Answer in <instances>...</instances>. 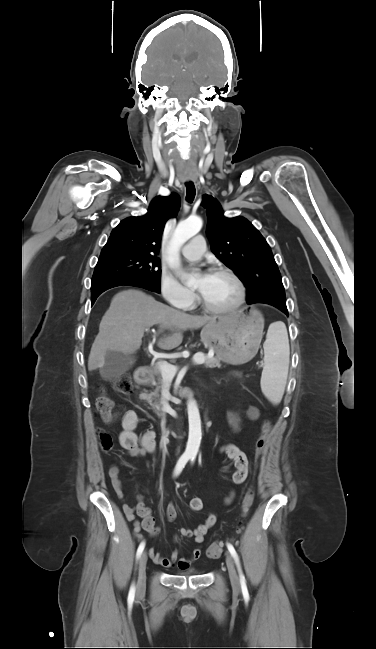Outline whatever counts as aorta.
I'll list each match as a JSON object with an SVG mask.
<instances>
[{
	"instance_id": "aorta-1",
	"label": "aorta",
	"mask_w": 376,
	"mask_h": 649,
	"mask_svg": "<svg viewBox=\"0 0 376 649\" xmlns=\"http://www.w3.org/2000/svg\"><path fill=\"white\" fill-rule=\"evenodd\" d=\"M202 228V220L200 217H189L184 221L179 222L171 239L169 246L168 264L173 268L176 274L182 279L190 280V276L186 275L180 266L179 250L191 237L195 236ZM188 421H189V435L186 446V453L190 455H197L202 438L201 419L197 404L193 398H189L187 402Z\"/></svg>"
}]
</instances>
